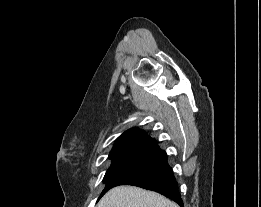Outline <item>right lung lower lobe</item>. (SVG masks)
<instances>
[{"label": "right lung lower lobe", "mask_w": 261, "mask_h": 207, "mask_svg": "<svg viewBox=\"0 0 261 207\" xmlns=\"http://www.w3.org/2000/svg\"><path fill=\"white\" fill-rule=\"evenodd\" d=\"M123 185H134L156 191L183 207V201L178 191L177 182L167 161L128 180Z\"/></svg>", "instance_id": "obj_1"}]
</instances>
